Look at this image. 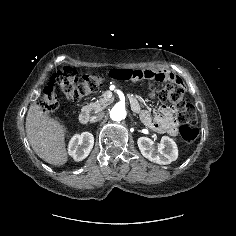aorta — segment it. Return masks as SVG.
Masks as SVG:
<instances>
[{
  "label": "aorta",
  "mask_w": 236,
  "mask_h": 236,
  "mask_svg": "<svg viewBox=\"0 0 236 236\" xmlns=\"http://www.w3.org/2000/svg\"><path fill=\"white\" fill-rule=\"evenodd\" d=\"M125 117H126V109L121 104H116L110 110V118L113 121H117L118 122V121L123 120Z\"/></svg>",
  "instance_id": "obj_1"
}]
</instances>
